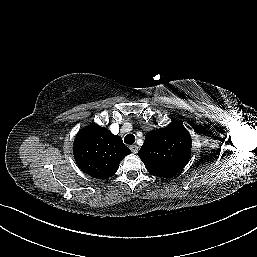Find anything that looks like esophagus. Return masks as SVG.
<instances>
[{
    "label": "esophagus",
    "mask_w": 257,
    "mask_h": 257,
    "mask_svg": "<svg viewBox=\"0 0 257 257\" xmlns=\"http://www.w3.org/2000/svg\"><path fill=\"white\" fill-rule=\"evenodd\" d=\"M130 149H131V151H132L133 153H137L138 150H139V147H138L137 145H131V146H130Z\"/></svg>",
    "instance_id": "esophagus-1"
}]
</instances>
